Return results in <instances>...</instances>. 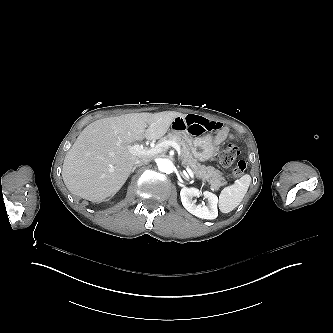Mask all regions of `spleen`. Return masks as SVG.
I'll use <instances>...</instances> for the list:
<instances>
[{
    "instance_id": "3e777b00",
    "label": "spleen",
    "mask_w": 333,
    "mask_h": 333,
    "mask_svg": "<svg viewBox=\"0 0 333 333\" xmlns=\"http://www.w3.org/2000/svg\"><path fill=\"white\" fill-rule=\"evenodd\" d=\"M250 183L251 176L249 174H245L233 185L225 187L219 195V210L222 213H229L233 211L242 202L248 191Z\"/></svg>"
}]
</instances>
